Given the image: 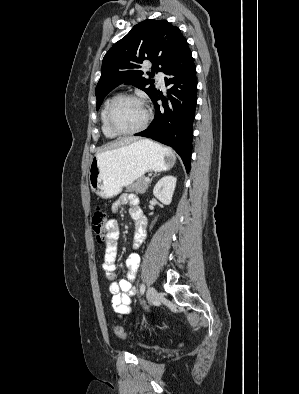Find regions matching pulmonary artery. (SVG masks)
<instances>
[{
    "instance_id": "1",
    "label": "pulmonary artery",
    "mask_w": 299,
    "mask_h": 394,
    "mask_svg": "<svg viewBox=\"0 0 299 394\" xmlns=\"http://www.w3.org/2000/svg\"><path fill=\"white\" fill-rule=\"evenodd\" d=\"M164 78H165V74H164L163 72H158V73H157V79H158L159 84H160L161 86H164V84H165Z\"/></svg>"
}]
</instances>
